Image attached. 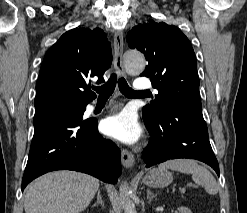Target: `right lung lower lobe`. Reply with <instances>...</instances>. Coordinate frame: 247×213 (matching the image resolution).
I'll return each instance as SVG.
<instances>
[{"instance_id": "obj_1", "label": "right lung lower lobe", "mask_w": 247, "mask_h": 213, "mask_svg": "<svg viewBox=\"0 0 247 213\" xmlns=\"http://www.w3.org/2000/svg\"><path fill=\"white\" fill-rule=\"evenodd\" d=\"M33 122L34 136L22 191L38 176L60 169L84 172L104 182L117 183L122 171L121 152L116 144L99 134L97 121L41 115Z\"/></svg>"}]
</instances>
